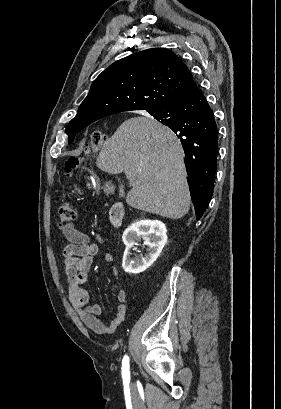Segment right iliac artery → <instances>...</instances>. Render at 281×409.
Instances as JSON below:
<instances>
[{
	"instance_id": "1",
	"label": "right iliac artery",
	"mask_w": 281,
	"mask_h": 409,
	"mask_svg": "<svg viewBox=\"0 0 281 409\" xmlns=\"http://www.w3.org/2000/svg\"><path fill=\"white\" fill-rule=\"evenodd\" d=\"M122 376L123 378L129 377V358L125 356L122 361Z\"/></svg>"
}]
</instances>
